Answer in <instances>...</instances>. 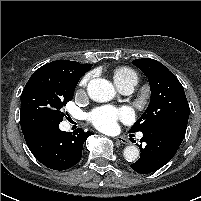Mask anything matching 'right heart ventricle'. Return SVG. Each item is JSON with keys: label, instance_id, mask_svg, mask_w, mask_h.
<instances>
[{"label": "right heart ventricle", "instance_id": "e07e8e85", "mask_svg": "<svg viewBox=\"0 0 201 201\" xmlns=\"http://www.w3.org/2000/svg\"><path fill=\"white\" fill-rule=\"evenodd\" d=\"M115 85L120 89L127 84H137L138 76L136 72L126 66L117 67L112 72Z\"/></svg>", "mask_w": 201, "mask_h": 201}]
</instances>
